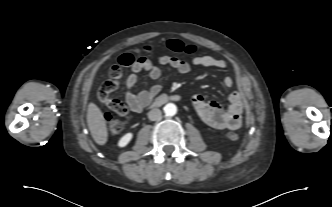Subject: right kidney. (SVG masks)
I'll return each instance as SVG.
<instances>
[{"instance_id": "obj_1", "label": "right kidney", "mask_w": 332, "mask_h": 207, "mask_svg": "<svg viewBox=\"0 0 332 207\" xmlns=\"http://www.w3.org/2000/svg\"><path fill=\"white\" fill-rule=\"evenodd\" d=\"M133 137L132 133H127L125 134L118 142V146L119 147H125L129 144V142L131 141Z\"/></svg>"}]
</instances>
